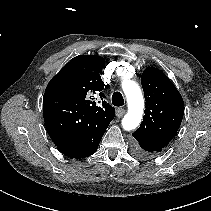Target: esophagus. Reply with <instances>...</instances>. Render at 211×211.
<instances>
[{
	"mask_svg": "<svg viewBox=\"0 0 211 211\" xmlns=\"http://www.w3.org/2000/svg\"><path fill=\"white\" fill-rule=\"evenodd\" d=\"M125 109H123V108H118L117 110H116V116L118 117V118H121L124 114H125Z\"/></svg>",
	"mask_w": 211,
	"mask_h": 211,
	"instance_id": "1",
	"label": "esophagus"
}]
</instances>
